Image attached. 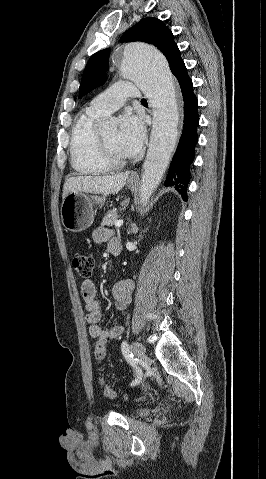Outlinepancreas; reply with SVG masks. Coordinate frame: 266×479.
Wrapping results in <instances>:
<instances>
[{"instance_id":"1","label":"pancreas","mask_w":266,"mask_h":479,"mask_svg":"<svg viewBox=\"0 0 266 479\" xmlns=\"http://www.w3.org/2000/svg\"><path fill=\"white\" fill-rule=\"evenodd\" d=\"M117 219L118 215L116 213V210H110L105 214L102 220V225L113 226Z\"/></svg>"}]
</instances>
